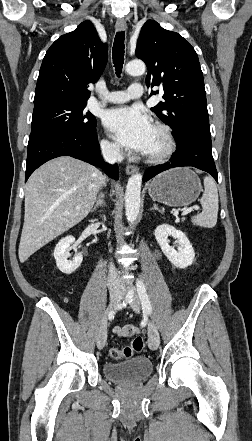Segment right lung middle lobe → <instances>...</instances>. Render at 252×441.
Returning a JSON list of instances; mask_svg holds the SVG:
<instances>
[{
	"instance_id": "1",
	"label": "right lung middle lobe",
	"mask_w": 252,
	"mask_h": 441,
	"mask_svg": "<svg viewBox=\"0 0 252 441\" xmlns=\"http://www.w3.org/2000/svg\"><path fill=\"white\" fill-rule=\"evenodd\" d=\"M86 102L53 100L34 105L31 134L42 131L87 132L96 126Z\"/></svg>"
}]
</instances>
